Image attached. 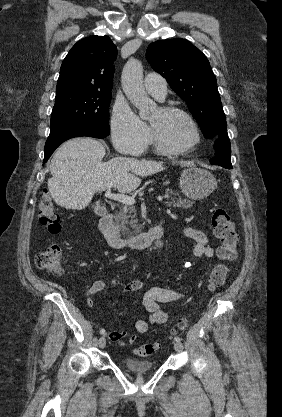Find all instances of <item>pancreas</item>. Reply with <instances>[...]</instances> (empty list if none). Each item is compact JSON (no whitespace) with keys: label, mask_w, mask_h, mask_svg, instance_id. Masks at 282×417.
I'll return each mask as SVG.
<instances>
[{"label":"pancreas","mask_w":282,"mask_h":417,"mask_svg":"<svg viewBox=\"0 0 282 417\" xmlns=\"http://www.w3.org/2000/svg\"><path fill=\"white\" fill-rule=\"evenodd\" d=\"M164 194L168 206L172 204V206H182V209H189V206L194 204V200L182 198L180 192H176L172 188H165ZM115 225L121 229V235H124L126 239H130L131 235H137V233H142L143 231L142 225H138L135 206L133 204H123V206H120V213L115 215Z\"/></svg>","instance_id":"1"}]
</instances>
